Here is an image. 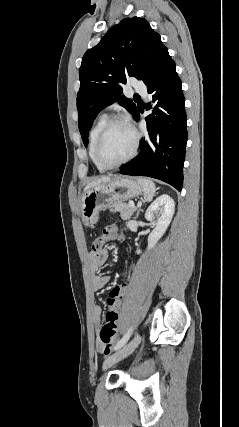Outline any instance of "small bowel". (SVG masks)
<instances>
[{
	"label": "small bowel",
	"instance_id": "small-bowel-1",
	"mask_svg": "<svg viewBox=\"0 0 239 427\" xmlns=\"http://www.w3.org/2000/svg\"><path fill=\"white\" fill-rule=\"evenodd\" d=\"M118 230V229H117ZM108 250L101 249L97 253H89L87 255V263L91 272V286L94 291L102 290L109 281V277L106 275L98 274V270L101 266L105 264L108 259ZM109 307V305H108ZM120 309V308H119ZM93 315L94 318L99 321L102 316V307L99 303H95L93 307ZM96 347L99 351H103L104 345L101 341H97Z\"/></svg>",
	"mask_w": 239,
	"mask_h": 427
}]
</instances>
